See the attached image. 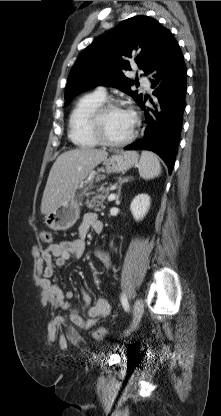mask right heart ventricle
I'll return each instance as SVG.
<instances>
[{
	"mask_svg": "<svg viewBox=\"0 0 221 416\" xmlns=\"http://www.w3.org/2000/svg\"><path fill=\"white\" fill-rule=\"evenodd\" d=\"M104 101L105 96L98 92L85 94L77 101L69 117V137L75 145L85 148L99 145L89 122L93 111Z\"/></svg>",
	"mask_w": 221,
	"mask_h": 416,
	"instance_id": "obj_1",
	"label": "right heart ventricle"
}]
</instances>
